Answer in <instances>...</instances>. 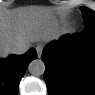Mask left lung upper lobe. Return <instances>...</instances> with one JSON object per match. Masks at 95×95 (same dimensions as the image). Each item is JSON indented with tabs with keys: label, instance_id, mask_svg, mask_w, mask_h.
I'll use <instances>...</instances> for the list:
<instances>
[{
	"label": "left lung upper lobe",
	"instance_id": "obj_1",
	"mask_svg": "<svg viewBox=\"0 0 95 95\" xmlns=\"http://www.w3.org/2000/svg\"><path fill=\"white\" fill-rule=\"evenodd\" d=\"M86 27L95 26V12L87 7H80Z\"/></svg>",
	"mask_w": 95,
	"mask_h": 95
}]
</instances>
